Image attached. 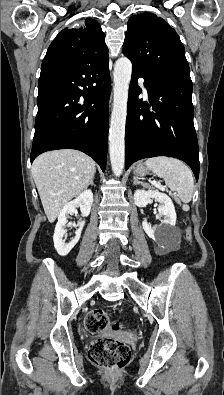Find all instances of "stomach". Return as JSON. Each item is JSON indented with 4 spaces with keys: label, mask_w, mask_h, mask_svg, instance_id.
I'll use <instances>...</instances> for the list:
<instances>
[{
    "label": "stomach",
    "mask_w": 224,
    "mask_h": 395,
    "mask_svg": "<svg viewBox=\"0 0 224 395\" xmlns=\"http://www.w3.org/2000/svg\"><path fill=\"white\" fill-rule=\"evenodd\" d=\"M148 171V167H146L143 163H138L134 169V174L136 176H145L146 174H148Z\"/></svg>",
    "instance_id": "0dacf381"
}]
</instances>
